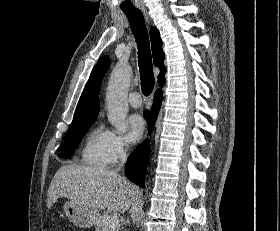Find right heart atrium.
<instances>
[{"mask_svg":"<svg viewBox=\"0 0 280 231\" xmlns=\"http://www.w3.org/2000/svg\"><path fill=\"white\" fill-rule=\"evenodd\" d=\"M103 145L108 163H114L130 148L129 141L114 131L105 132Z\"/></svg>","mask_w":280,"mask_h":231,"instance_id":"obj_1","label":"right heart atrium"}]
</instances>
